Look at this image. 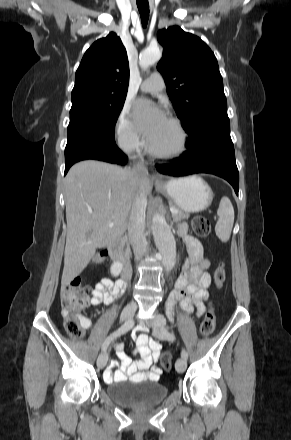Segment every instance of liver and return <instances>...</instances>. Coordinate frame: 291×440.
Here are the masks:
<instances>
[{
	"label": "liver",
	"mask_w": 291,
	"mask_h": 440,
	"mask_svg": "<svg viewBox=\"0 0 291 440\" xmlns=\"http://www.w3.org/2000/svg\"><path fill=\"white\" fill-rule=\"evenodd\" d=\"M152 190L148 175L105 162L86 160L65 178L67 235L62 286L88 265L97 248L119 240L128 228L136 197ZM113 223V227L109 224Z\"/></svg>",
	"instance_id": "obj_1"
}]
</instances>
